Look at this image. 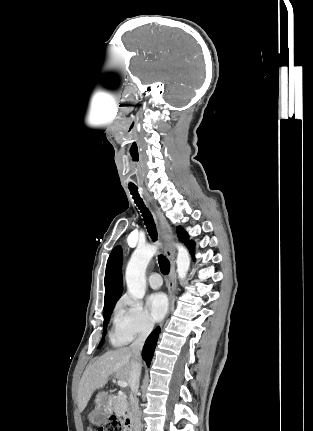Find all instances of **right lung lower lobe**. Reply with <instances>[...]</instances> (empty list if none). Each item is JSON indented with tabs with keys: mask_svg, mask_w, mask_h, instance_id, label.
Instances as JSON below:
<instances>
[{
	"mask_svg": "<svg viewBox=\"0 0 313 431\" xmlns=\"http://www.w3.org/2000/svg\"><path fill=\"white\" fill-rule=\"evenodd\" d=\"M160 333V327H157L147 338L142 351V358L146 362L147 366H150L151 359L154 354L157 339Z\"/></svg>",
	"mask_w": 313,
	"mask_h": 431,
	"instance_id": "98d812e1",
	"label": "right lung lower lobe"
}]
</instances>
